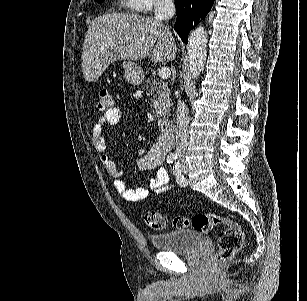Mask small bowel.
<instances>
[{"instance_id": "c3829d8e", "label": "small bowel", "mask_w": 307, "mask_h": 301, "mask_svg": "<svg viewBox=\"0 0 307 301\" xmlns=\"http://www.w3.org/2000/svg\"><path fill=\"white\" fill-rule=\"evenodd\" d=\"M124 118L122 108L113 106L108 109L95 123L92 129V141L95 148L103 152L106 150V139L104 136V128L106 126L118 125ZM170 148L167 137H161L148 152L138 159V166L143 170H155V174L151 177L148 187L132 189L128 187L122 180V172L116 163L109 158L108 155L101 156L102 163L107 173L113 178V184L117 192L127 201L138 202L147 198L150 193L162 194L169 190V176L165 168L162 166L166 153Z\"/></svg>"}]
</instances>
